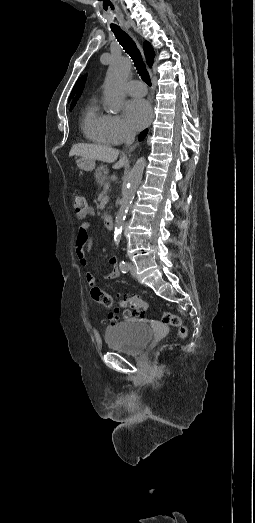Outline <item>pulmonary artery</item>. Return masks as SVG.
Segmentation results:
<instances>
[{"label": "pulmonary artery", "instance_id": "pulmonary-artery-1", "mask_svg": "<svg viewBox=\"0 0 255 523\" xmlns=\"http://www.w3.org/2000/svg\"><path fill=\"white\" fill-rule=\"evenodd\" d=\"M126 89L128 93L131 94L133 99H136L138 96L145 95L147 92L146 85L138 80L130 81L126 86Z\"/></svg>", "mask_w": 255, "mask_h": 523}]
</instances>
